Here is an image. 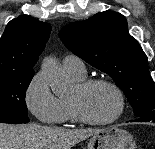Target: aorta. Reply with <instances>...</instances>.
<instances>
[{"label":"aorta","instance_id":"obj_1","mask_svg":"<svg viewBox=\"0 0 155 149\" xmlns=\"http://www.w3.org/2000/svg\"><path fill=\"white\" fill-rule=\"evenodd\" d=\"M41 71L56 96L65 97L70 93L72 82L64 74L55 58L46 57L42 62Z\"/></svg>","mask_w":155,"mask_h":149}]
</instances>
